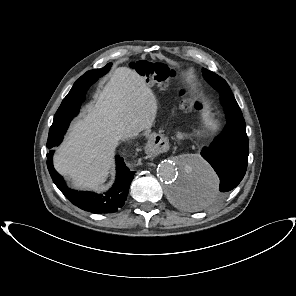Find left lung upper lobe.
I'll return each mask as SVG.
<instances>
[{"label": "left lung upper lobe", "mask_w": 296, "mask_h": 296, "mask_svg": "<svg viewBox=\"0 0 296 296\" xmlns=\"http://www.w3.org/2000/svg\"><path fill=\"white\" fill-rule=\"evenodd\" d=\"M203 76L204 79L220 93L221 98L227 99L234 97L230 87L223 78L205 68H203Z\"/></svg>", "instance_id": "1"}]
</instances>
